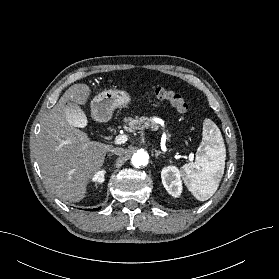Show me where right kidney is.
<instances>
[{
  "mask_svg": "<svg viewBox=\"0 0 279 279\" xmlns=\"http://www.w3.org/2000/svg\"><path fill=\"white\" fill-rule=\"evenodd\" d=\"M105 173L106 171L105 170H101V171H98L94 174V176L92 177V181L95 182L96 184L99 183H103L104 180H105Z\"/></svg>",
  "mask_w": 279,
  "mask_h": 279,
  "instance_id": "right-kidney-1",
  "label": "right kidney"
}]
</instances>
